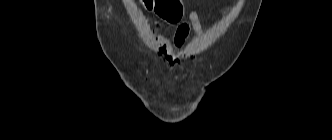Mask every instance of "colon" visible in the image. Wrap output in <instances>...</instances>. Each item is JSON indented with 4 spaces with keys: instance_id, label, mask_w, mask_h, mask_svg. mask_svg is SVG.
<instances>
[{
    "instance_id": "obj_1",
    "label": "colon",
    "mask_w": 332,
    "mask_h": 140,
    "mask_svg": "<svg viewBox=\"0 0 332 140\" xmlns=\"http://www.w3.org/2000/svg\"><path fill=\"white\" fill-rule=\"evenodd\" d=\"M144 6L154 11L160 18L168 21H178L183 13L182 0H142ZM156 29H160V24H155Z\"/></svg>"
}]
</instances>
